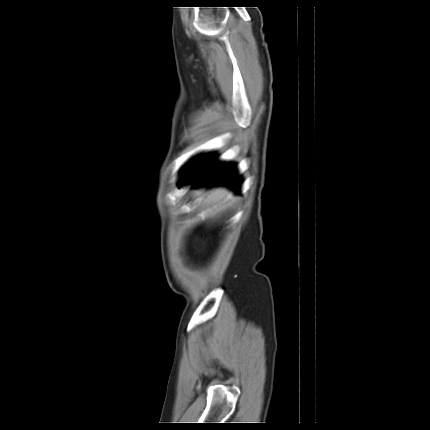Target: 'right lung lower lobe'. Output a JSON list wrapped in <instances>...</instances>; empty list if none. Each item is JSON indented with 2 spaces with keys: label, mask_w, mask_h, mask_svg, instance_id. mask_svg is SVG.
<instances>
[{
  "label": "right lung lower lobe",
  "mask_w": 430,
  "mask_h": 430,
  "mask_svg": "<svg viewBox=\"0 0 430 430\" xmlns=\"http://www.w3.org/2000/svg\"><path fill=\"white\" fill-rule=\"evenodd\" d=\"M210 156L211 154L205 155L190 165L186 169L185 177L179 185L184 182H194V186L203 183H222L238 191V186L241 182L235 175L234 166L231 164L215 163Z\"/></svg>",
  "instance_id": "right-lung-lower-lobe-1"
}]
</instances>
